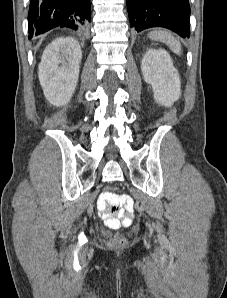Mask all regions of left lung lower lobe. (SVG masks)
<instances>
[{"label":"left lung lower lobe","mask_w":227,"mask_h":298,"mask_svg":"<svg viewBox=\"0 0 227 298\" xmlns=\"http://www.w3.org/2000/svg\"><path fill=\"white\" fill-rule=\"evenodd\" d=\"M130 27L140 32L151 27L168 28L190 36L188 0H127Z\"/></svg>","instance_id":"0a47b994"}]
</instances>
